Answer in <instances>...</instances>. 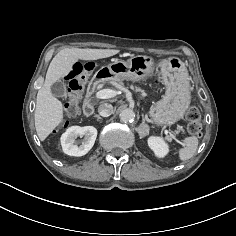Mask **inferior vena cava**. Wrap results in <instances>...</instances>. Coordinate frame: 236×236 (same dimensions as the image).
Instances as JSON below:
<instances>
[{"instance_id":"602c4592","label":"inferior vena cava","mask_w":236,"mask_h":236,"mask_svg":"<svg viewBox=\"0 0 236 236\" xmlns=\"http://www.w3.org/2000/svg\"><path fill=\"white\" fill-rule=\"evenodd\" d=\"M98 112L103 117H108L113 113V106L111 104H101L98 108Z\"/></svg>"}]
</instances>
